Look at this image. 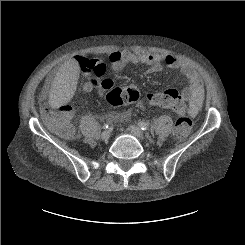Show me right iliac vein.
<instances>
[{"mask_svg":"<svg viewBox=\"0 0 245 245\" xmlns=\"http://www.w3.org/2000/svg\"><path fill=\"white\" fill-rule=\"evenodd\" d=\"M110 137H111V133H110V131H108V130L103 131V132L101 133V138H102L103 140H108V139H110Z\"/></svg>","mask_w":245,"mask_h":245,"instance_id":"1","label":"right iliac vein"}]
</instances>
